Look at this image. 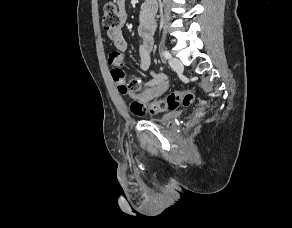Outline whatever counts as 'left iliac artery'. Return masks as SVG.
I'll return each mask as SVG.
<instances>
[{
  "instance_id": "1",
  "label": "left iliac artery",
  "mask_w": 292,
  "mask_h": 228,
  "mask_svg": "<svg viewBox=\"0 0 292 228\" xmlns=\"http://www.w3.org/2000/svg\"><path fill=\"white\" fill-rule=\"evenodd\" d=\"M163 56L166 58V59H170L171 58V54L168 50H164L163 51Z\"/></svg>"
}]
</instances>
